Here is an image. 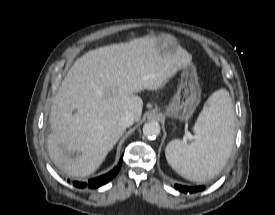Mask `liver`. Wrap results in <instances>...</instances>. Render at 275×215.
Masks as SVG:
<instances>
[{
	"mask_svg": "<svg viewBox=\"0 0 275 215\" xmlns=\"http://www.w3.org/2000/svg\"><path fill=\"white\" fill-rule=\"evenodd\" d=\"M156 41L157 37L135 38L91 50L75 61L49 117L53 133L48 136V153L64 173L85 177L95 172L125 132L118 124L122 115L128 111L134 121L141 119L138 93L158 90L191 65L186 50L164 55Z\"/></svg>",
	"mask_w": 275,
	"mask_h": 215,
	"instance_id": "6515ba94",
	"label": "liver"
}]
</instances>
